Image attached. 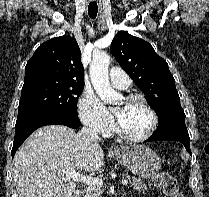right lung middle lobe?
I'll return each instance as SVG.
<instances>
[{"mask_svg": "<svg viewBox=\"0 0 209 197\" xmlns=\"http://www.w3.org/2000/svg\"><path fill=\"white\" fill-rule=\"evenodd\" d=\"M84 83L36 80L22 87L17 121L49 112L77 116L78 97Z\"/></svg>", "mask_w": 209, "mask_h": 197, "instance_id": "dd1d6c3e", "label": "right lung middle lobe"}]
</instances>
